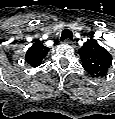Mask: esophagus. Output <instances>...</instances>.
Wrapping results in <instances>:
<instances>
[{"label":"esophagus","instance_id":"34e87169","mask_svg":"<svg viewBox=\"0 0 115 119\" xmlns=\"http://www.w3.org/2000/svg\"><path fill=\"white\" fill-rule=\"evenodd\" d=\"M65 43H67V44H72L73 42H72L71 39H66V40H65Z\"/></svg>","mask_w":115,"mask_h":119}]
</instances>
